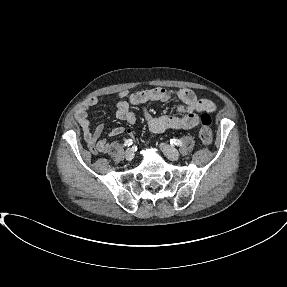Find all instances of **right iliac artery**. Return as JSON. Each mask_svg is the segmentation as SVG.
Segmentation results:
<instances>
[{"label": "right iliac artery", "instance_id": "right-iliac-artery-1", "mask_svg": "<svg viewBox=\"0 0 287 287\" xmlns=\"http://www.w3.org/2000/svg\"><path fill=\"white\" fill-rule=\"evenodd\" d=\"M132 144H133V140L132 139H128L124 143L125 146H131Z\"/></svg>", "mask_w": 287, "mask_h": 287}]
</instances>
